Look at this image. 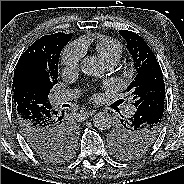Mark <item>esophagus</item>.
Segmentation results:
<instances>
[{
    "label": "esophagus",
    "mask_w": 184,
    "mask_h": 184,
    "mask_svg": "<svg viewBox=\"0 0 184 184\" xmlns=\"http://www.w3.org/2000/svg\"><path fill=\"white\" fill-rule=\"evenodd\" d=\"M96 111L93 109H87L85 111H83V115L86 117H91L92 115H94Z\"/></svg>",
    "instance_id": "34e87169"
}]
</instances>
